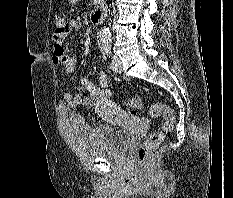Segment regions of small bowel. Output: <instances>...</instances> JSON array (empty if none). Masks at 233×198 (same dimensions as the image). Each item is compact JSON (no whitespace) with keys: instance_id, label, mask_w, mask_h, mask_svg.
Returning a JSON list of instances; mask_svg holds the SVG:
<instances>
[{"instance_id":"1","label":"small bowel","mask_w":233,"mask_h":198,"mask_svg":"<svg viewBox=\"0 0 233 198\" xmlns=\"http://www.w3.org/2000/svg\"><path fill=\"white\" fill-rule=\"evenodd\" d=\"M82 29V23L77 20L65 21L64 28L61 31H54L53 42V64L61 68L66 74H72L77 66V60L67 54L64 50V40L73 31ZM80 85L87 91L88 96H83L81 92L65 91L64 101L69 107L86 106L95 107L97 112L103 116L117 115L120 110L110 101V91L108 89V76L105 70H98L97 83H93L87 77H82Z\"/></svg>"}]
</instances>
